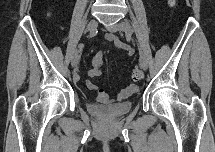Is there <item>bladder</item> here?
Masks as SVG:
<instances>
[{
    "mask_svg": "<svg viewBox=\"0 0 215 152\" xmlns=\"http://www.w3.org/2000/svg\"><path fill=\"white\" fill-rule=\"evenodd\" d=\"M89 111L98 116L119 117L127 114L132 108V102H122L112 105L109 109L99 105H89Z\"/></svg>",
    "mask_w": 215,
    "mask_h": 152,
    "instance_id": "bladder-1",
    "label": "bladder"
}]
</instances>
